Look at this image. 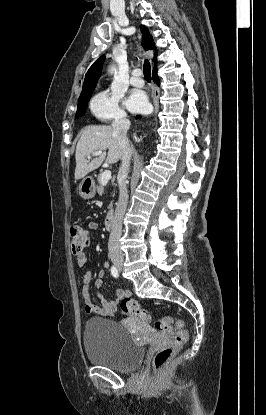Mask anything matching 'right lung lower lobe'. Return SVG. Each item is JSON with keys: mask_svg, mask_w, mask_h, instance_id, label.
<instances>
[{"mask_svg": "<svg viewBox=\"0 0 266 415\" xmlns=\"http://www.w3.org/2000/svg\"><path fill=\"white\" fill-rule=\"evenodd\" d=\"M152 78H153V81H154L157 85H159V78H158V75H157V69L153 71ZM140 117H141V116H137V118H140Z\"/></svg>", "mask_w": 266, "mask_h": 415, "instance_id": "98d812e1", "label": "right lung lower lobe"}]
</instances>
